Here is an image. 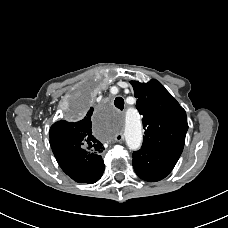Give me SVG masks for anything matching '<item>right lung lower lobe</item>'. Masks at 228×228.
Instances as JSON below:
<instances>
[{"label": "right lung lower lobe", "instance_id": "obj_1", "mask_svg": "<svg viewBox=\"0 0 228 228\" xmlns=\"http://www.w3.org/2000/svg\"><path fill=\"white\" fill-rule=\"evenodd\" d=\"M56 160L63 171L79 183H94L101 178L104 171V162L99 154L82 156L73 152L57 157ZM82 162H86L84 166Z\"/></svg>", "mask_w": 228, "mask_h": 228}]
</instances>
